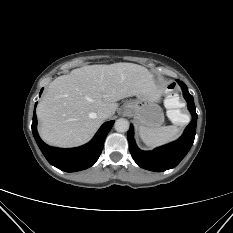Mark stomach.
<instances>
[{
	"mask_svg": "<svg viewBox=\"0 0 233 233\" xmlns=\"http://www.w3.org/2000/svg\"><path fill=\"white\" fill-rule=\"evenodd\" d=\"M124 112L133 116L140 127L157 128L164 122V114L151 96L138 94L135 99L126 101Z\"/></svg>",
	"mask_w": 233,
	"mask_h": 233,
	"instance_id": "obj_1",
	"label": "stomach"
}]
</instances>
